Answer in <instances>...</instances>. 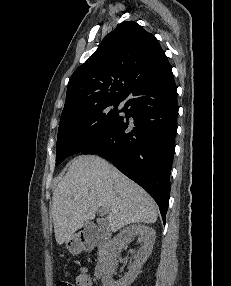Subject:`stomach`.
Returning a JSON list of instances; mask_svg holds the SVG:
<instances>
[{
    "label": "stomach",
    "instance_id": "0dacf381",
    "mask_svg": "<svg viewBox=\"0 0 231 286\" xmlns=\"http://www.w3.org/2000/svg\"><path fill=\"white\" fill-rule=\"evenodd\" d=\"M67 249L72 253H77L81 250L82 244L76 236H72L66 241Z\"/></svg>",
    "mask_w": 231,
    "mask_h": 286
}]
</instances>
